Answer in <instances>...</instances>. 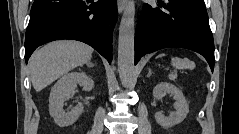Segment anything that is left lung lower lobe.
<instances>
[{
  "label": "left lung lower lobe",
  "mask_w": 239,
  "mask_h": 134,
  "mask_svg": "<svg viewBox=\"0 0 239 134\" xmlns=\"http://www.w3.org/2000/svg\"><path fill=\"white\" fill-rule=\"evenodd\" d=\"M196 51L214 69V41L204 0H158V7L144 4L135 34V64L162 48Z\"/></svg>",
  "instance_id": "0a47b994"
}]
</instances>
